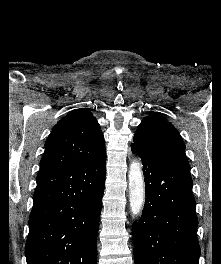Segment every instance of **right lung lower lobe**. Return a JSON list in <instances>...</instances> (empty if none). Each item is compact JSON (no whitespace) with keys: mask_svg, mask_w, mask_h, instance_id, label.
<instances>
[{"mask_svg":"<svg viewBox=\"0 0 221 264\" xmlns=\"http://www.w3.org/2000/svg\"><path fill=\"white\" fill-rule=\"evenodd\" d=\"M106 155L40 172L29 217L27 264H97Z\"/></svg>","mask_w":221,"mask_h":264,"instance_id":"obj_1","label":"right lung lower lobe"}]
</instances>
